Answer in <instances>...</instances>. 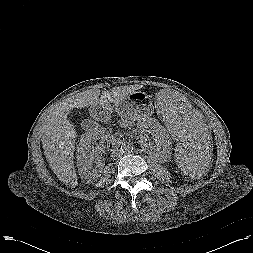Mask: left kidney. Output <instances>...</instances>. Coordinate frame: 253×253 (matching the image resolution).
<instances>
[{"label":"left kidney","mask_w":253,"mask_h":253,"mask_svg":"<svg viewBox=\"0 0 253 253\" xmlns=\"http://www.w3.org/2000/svg\"><path fill=\"white\" fill-rule=\"evenodd\" d=\"M138 134L143 146L152 154L157 157H167L170 154L171 138L158 120L153 118L144 120L138 125Z\"/></svg>","instance_id":"obj_1"}]
</instances>
